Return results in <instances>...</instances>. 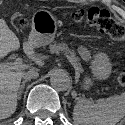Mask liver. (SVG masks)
Segmentation results:
<instances>
[{"label":"liver","instance_id":"6515ba94","mask_svg":"<svg viewBox=\"0 0 125 125\" xmlns=\"http://www.w3.org/2000/svg\"><path fill=\"white\" fill-rule=\"evenodd\" d=\"M19 48V39L9 29L5 20L0 19V59ZM23 49L35 63L41 66L44 64L43 59L34 52V45L29 38L25 39ZM24 73L22 70L0 69V119L7 118L16 111L18 91Z\"/></svg>","mask_w":125,"mask_h":125}]
</instances>
